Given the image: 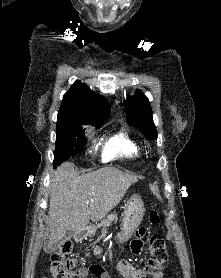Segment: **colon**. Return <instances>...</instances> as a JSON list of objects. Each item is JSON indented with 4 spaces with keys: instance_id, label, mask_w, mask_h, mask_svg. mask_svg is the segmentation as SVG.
Segmentation results:
<instances>
[{
    "instance_id": "obj_1",
    "label": "colon",
    "mask_w": 221,
    "mask_h": 278,
    "mask_svg": "<svg viewBox=\"0 0 221 278\" xmlns=\"http://www.w3.org/2000/svg\"><path fill=\"white\" fill-rule=\"evenodd\" d=\"M159 215L152 211L149 214V221L152 224L159 223ZM72 243L64 242L59 249L53 253L50 265V275L52 278H69L78 267L77 261L70 259L67 255L71 252ZM148 260L147 265L142 269L146 278L160 272L167 260V249L164 239L159 235H153L148 241ZM89 269L94 272L96 266H90Z\"/></svg>"
}]
</instances>
